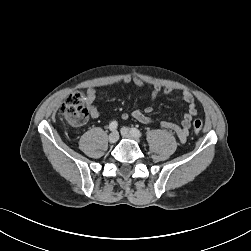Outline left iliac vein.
<instances>
[{
    "mask_svg": "<svg viewBox=\"0 0 251 251\" xmlns=\"http://www.w3.org/2000/svg\"><path fill=\"white\" fill-rule=\"evenodd\" d=\"M120 132L123 137L128 138V139H133L139 142V137L133 134L132 131L129 130L127 127H122Z\"/></svg>",
    "mask_w": 251,
    "mask_h": 251,
    "instance_id": "1",
    "label": "left iliac vein"
}]
</instances>
